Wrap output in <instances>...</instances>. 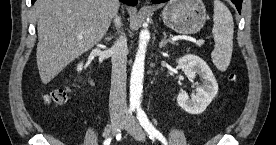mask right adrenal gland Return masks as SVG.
<instances>
[{
    "instance_id": "right-adrenal-gland-1",
    "label": "right adrenal gland",
    "mask_w": 276,
    "mask_h": 145,
    "mask_svg": "<svg viewBox=\"0 0 276 145\" xmlns=\"http://www.w3.org/2000/svg\"><path fill=\"white\" fill-rule=\"evenodd\" d=\"M106 40H107V41H111V40H112V37H106Z\"/></svg>"
}]
</instances>
